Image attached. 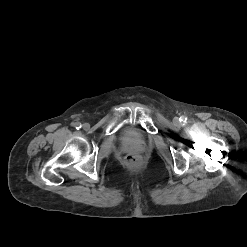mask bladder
<instances>
[{
  "instance_id": "1",
  "label": "bladder",
  "mask_w": 247,
  "mask_h": 247,
  "mask_svg": "<svg viewBox=\"0 0 247 247\" xmlns=\"http://www.w3.org/2000/svg\"><path fill=\"white\" fill-rule=\"evenodd\" d=\"M123 138L126 142L131 144H137L142 141V136L134 130L128 129L124 132Z\"/></svg>"
}]
</instances>
